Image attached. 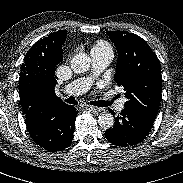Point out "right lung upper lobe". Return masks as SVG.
<instances>
[{
    "instance_id": "1",
    "label": "right lung upper lobe",
    "mask_w": 183,
    "mask_h": 183,
    "mask_svg": "<svg viewBox=\"0 0 183 183\" xmlns=\"http://www.w3.org/2000/svg\"><path fill=\"white\" fill-rule=\"evenodd\" d=\"M65 30L49 34L28 51L20 67L19 95L24 114L41 103H64L55 95V68L62 61Z\"/></svg>"
}]
</instances>
